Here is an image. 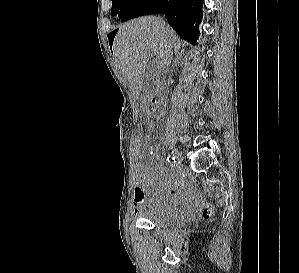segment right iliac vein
<instances>
[{"instance_id": "1", "label": "right iliac vein", "mask_w": 299, "mask_h": 273, "mask_svg": "<svg viewBox=\"0 0 299 273\" xmlns=\"http://www.w3.org/2000/svg\"><path fill=\"white\" fill-rule=\"evenodd\" d=\"M171 152L173 157L177 160L178 164H181L183 160L181 152L177 148H172Z\"/></svg>"}]
</instances>
